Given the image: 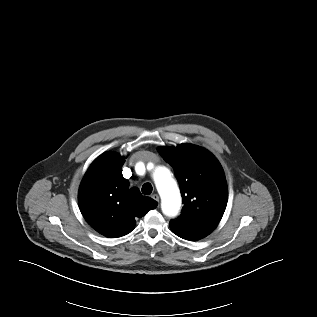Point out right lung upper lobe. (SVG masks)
Instances as JSON below:
<instances>
[{
  "label": "right lung upper lobe",
  "mask_w": 317,
  "mask_h": 317,
  "mask_svg": "<svg viewBox=\"0 0 317 317\" xmlns=\"http://www.w3.org/2000/svg\"><path fill=\"white\" fill-rule=\"evenodd\" d=\"M124 157L106 152L93 161L80 185L78 201L87 223L106 237L130 233L135 219L157 206L122 175Z\"/></svg>",
  "instance_id": "obj_1"
}]
</instances>
